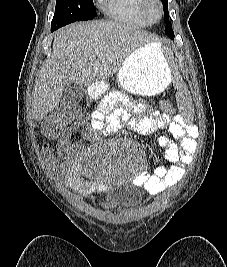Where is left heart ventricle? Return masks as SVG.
<instances>
[{"label": "left heart ventricle", "mask_w": 227, "mask_h": 267, "mask_svg": "<svg viewBox=\"0 0 227 267\" xmlns=\"http://www.w3.org/2000/svg\"><path fill=\"white\" fill-rule=\"evenodd\" d=\"M150 13L153 18L157 17V7L154 4L150 6Z\"/></svg>", "instance_id": "1"}]
</instances>
